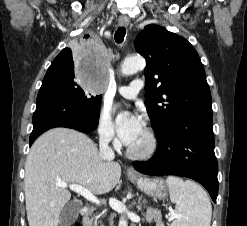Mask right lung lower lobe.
<instances>
[{
  "label": "right lung lower lobe",
  "mask_w": 247,
  "mask_h": 226,
  "mask_svg": "<svg viewBox=\"0 0 247 226\" xmlns=\"http://www.w3.org/2000/svg\"><path fill=\"white\" fill-rule=\"evenodd\" d=\"M36 105L30 145L51 128L67 127L89 133L98 126L100 110L88 106L56 79L44 77Z\"/></svg>",
  "instance_id": "right-lung-lower-lobe-1"
}]
</instances>
